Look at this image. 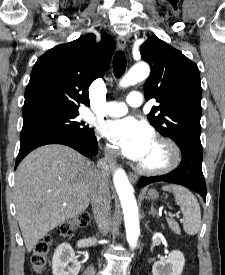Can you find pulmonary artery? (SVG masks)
I'll use <instances>...</instances> for the list:
<instances>
[{"label":"pulmonary artery","mask_w":225,"mask_h":275,"mask_svg":"<svg viewBox=\"0 0 225 275\" xmlns=\"http://www.w3.org/2000/svg\"><path fill=\"white\" fill-rule=\"evenodd\" d=\"M143 96L139 91L130 92L126 102L112 101L105 105L104 113L108 116H121L127 113L128 107H140Z\"/></svg>","instance_id":"obj_1"}]
</instances>
